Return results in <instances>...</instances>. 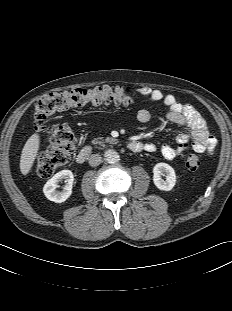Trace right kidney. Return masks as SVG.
<instances>
[{"mask_svg": "<svg viewBox=\"0 0 232 311\" xmlns=\"http://www.w3.org/2000/svg\"><path fill=\"white\" fill-rule=\"evenodd\" d=\"M64 181L66 184L62 191H57L58 183ZM74 175L70 170H62L49 179L43 187V192L50 201L62 203L72 194Z\"/></svg>", "mask_w": 232, "mask_h": 311, "instance_id": "obj_1", "label": "right kidney"}]
</instances>
